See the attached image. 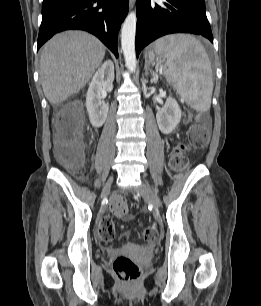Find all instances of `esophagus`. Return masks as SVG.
<instances>
[{"label": "esophagus", "mask_w": 261, "mask_h": 306, "mask_svg": "<svg viewBox=\"0 0 261 306\" xmlns=\"http://www.w3.org/2000/svg\"><path fill=\"white\" fill-rule=\"evenodd\" d=\"M134 4H135V0H129V6H130V7H133Z\"/></svg>", "instance_id": "esophagus-1"}]
</instances>
